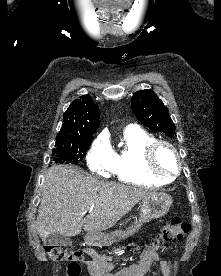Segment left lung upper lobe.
<instances>
[{
    "label": "left lung upper lobe",
    "mask_w": 221,
    "mask_h": 276,
    "mask_svg": "<svg viewBox=\"0 0 221 276\" xmlns=\"http://www.w3.org/2000/svg\"><path fill=\"white\" fill-rule=\"evenodd\" d=\"M132 110L139 121L150 129L172 136L175 125L168 109L151 90H141L132 96Z\"/></svg>",
    "instance_id": "5c2ea615"
}]
</instances>
